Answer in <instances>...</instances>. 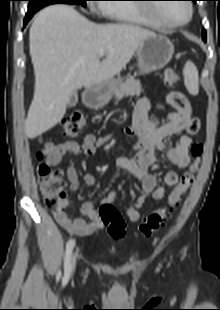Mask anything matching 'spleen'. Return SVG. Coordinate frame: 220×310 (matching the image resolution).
Returning <instances> with one entry per match:
<instances>
[{"instance_id": "spleen-1", "label": "spleen", "mask_w": 220, "mask_h": 310, "mask_svg": "<svg viewBox=\"0 0 220 310\" xmlns=\"http://www.w3.org/2000/svg\"><path fill=\"white\" fill-rule=\"evenodd\" d=\"M184 81L189 93L192 95H197L199 92L198 71L191 61H188L185 65Z\"/></svg>"}]
</instances>
